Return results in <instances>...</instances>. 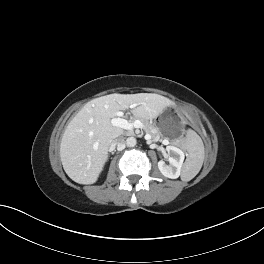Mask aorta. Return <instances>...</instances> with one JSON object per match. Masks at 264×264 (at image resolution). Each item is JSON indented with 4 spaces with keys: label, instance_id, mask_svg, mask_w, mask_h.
Listing matches in <instances>:
<instances>
[{
    "label": "aorta",
    "instance_id": "1",
    "mask_svg": "<svg viewBox=\"0 0 264 264\" xmlns=\"http://www.w3.org/2000/svg\"><path fill=\"white\" fill-rule=\"evenodd\" d=\"M136 143H137V140H136L135 137H128V138L126 139V145H127L128 147H134V146L136 145Z\"/></svg>",
    "mask_w": 264,
    "mask_h": 264
}]
</instances>
